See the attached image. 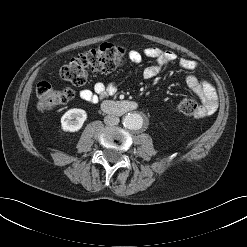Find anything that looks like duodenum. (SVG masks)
I'll use <instances>...</instances> for the list:
<instances>
[{
  "mask_svg": "<svg viewBox=\"0 0 247 247\" xmlns=\"http://www.w3.org/2000/svg\"><path fill=\"white\" fill-rule=\"evenodd\" d=\"M102 108L104 111L110 114L122 115L137 110L139 108V105L131 100H122V101L107 100L102 103Z\"/></svg>",
  "mask_w": 247,
  "mask_h": 247,
  "instance_id": "obj_1",
  "label": "duodenum"
}]
</instances>
